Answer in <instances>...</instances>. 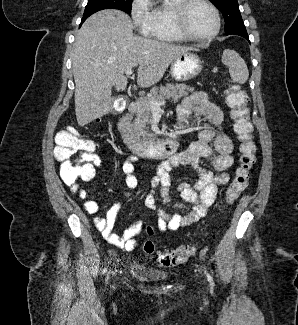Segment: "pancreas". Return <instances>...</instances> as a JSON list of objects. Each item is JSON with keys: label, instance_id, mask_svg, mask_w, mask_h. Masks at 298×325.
Returning a JSON list of instances; mask_svg holds the SVG:
<instances>
[{"label": "pancreas", "instance_id": "obj_1", "mask_svg": "<svg viewBox=\"0 0 298 325\" xmlns=\"http://www.w3.org/2000/svg\"><path fill=\"white\" fill-rule=\"evenodd\" d=\"M194 86L188 84H178V82H167L165 86H154L150 92L153 96H145V98H138L136 102L135 118L131 124L135 138L139 142H148L152 138H157L155 132H149L148 124H151L152 110L149 104V98L154 100H172V102H179L182 96H188L189 92H194Z\"/></svg>", "mask_w": 298, "mask_h": 325}]
</instances>
